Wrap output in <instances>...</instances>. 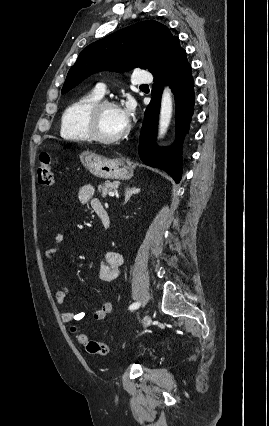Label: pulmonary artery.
Returning a JSON list of instances; mask_svg holds the SVG:
<instances>
[{
    "label": "pulmonary artery",
    "mask_w": 269,
    "mask_h": 426,
    "mask_svg": "<svg viewBox=\"0 0 269 426\" xmlns=\"http://www.w3.org/2000/svg\"><path fill=\"white\" fill-rule=\"evenodd\" d=\"M152 81V77L151 75L144 71H136L133 74V83L136 85H140V86H144L147 85L148 83H150ZM95 92L97 94H99L100 96H103L105 94V87L103 84H99L96 89Z\"/></svg>",
    "instance_id": "obj_1"
}]
</instances>
